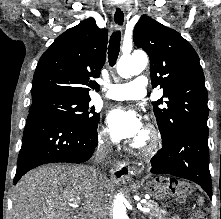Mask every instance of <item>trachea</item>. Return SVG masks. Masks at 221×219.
Listing matches in <instances>:
<instances>
[{"instance_id":"1","label":"trachea","mask_w":221,"mask_h":219,"mask_svg":"<svg viewBox=\"0 0 221 219\" xmlns=\"http://www.w3.org/2000/svg\"><path fill=\"white\" fill-rule=\"evenodd\" d=\"M121 34L120 31H115L110 37L108 46V60L110 66L116 64L119 52H120Z\"/></svg>"}]
</instances>
